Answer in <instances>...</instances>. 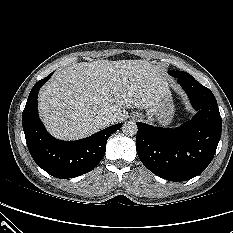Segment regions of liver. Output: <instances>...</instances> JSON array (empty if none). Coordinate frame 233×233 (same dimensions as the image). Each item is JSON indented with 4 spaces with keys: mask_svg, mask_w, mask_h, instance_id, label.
<instances>
[{
    "mask_svg": "<svg viewBox=\"0 0 233 233\" xmlns=\"http://www.w3.org/2000/svg\"><path fill=\"white\" fill-rule=\"evenodd\" d=\"M169 91L164 72L144 60H97L72 64L55 73L39 93V110L47 130L62 140H77L101 128L108 115L121 121L125 109H145L153 116Z\"/></svg>",
    "mask_w": 233,
    "mask_h": 233,
    "instance_id": "obj_1",
    "label": "liver"
}]
</instances>
